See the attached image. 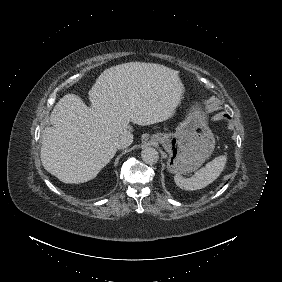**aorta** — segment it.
<instances>
[{"instance_id":"762f6f07","label":"aorta","mask_w":282,"mask_h":282,"mask_svg":"<svg viewBox=\"0 0 282 282\" xmlns=\"http://www.w3.org/2000/svg\"><path fill=\"white\" fill-rule=\"evenodd\" d=\"M141 158L147 164H154L158 160V152L154 147H145L141 151Z\"/></svg>"}]
</instances>
